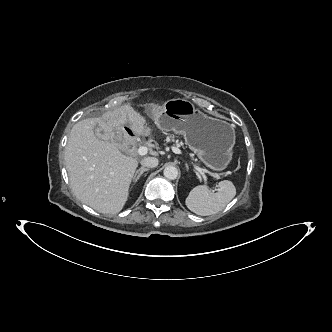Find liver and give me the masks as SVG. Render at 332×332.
Wrapping results in <instances>:
<instances>
[{"instance_id": "1", "label": "liver", "mask_w": 332, "mask_h": 332, "mask_svg": "<svg viewBox=\"0 0 332 332\" xmlns=\"http://www.w3.org/2000/svg\"><path fill=\"white\" fill-rule=\"evenodd\" d=\"M153 110L162 107L151 105ZM127 108L106 112L98 118L77 122L71 129L65 147V163L72 191L84 204L103 214L122 210L138 166L136 158L122 154L108 141L113 129L123 124ZM107 130L106 140L98 139L93 131L96 124ZM151 155L158 152L151 150Z\"/></svg>"}]
</instances>
